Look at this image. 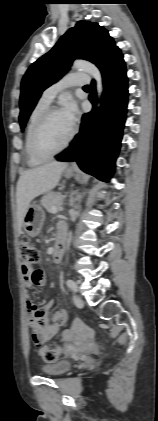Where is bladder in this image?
Returning a JSON list of instances; mask_svg holds the SVG:
<instances>
[{
	"label": "bladder",
	"instance_id": "bladder-1",
	"mask_svg": "<svg viewBox=\"0 0 158 421\" xmlns=\"http://www.w3.org/2000/svg\"><path fill=\"white\" fill-rule=\"evenodd\" d=\"M72 368V363L69 360H59L53 363L41 366L40 370L43 374L48 376H61L67 373Z\"/></svg>",
	"mask_w": 158,
	"mask_h": 421
}]
</instances>
